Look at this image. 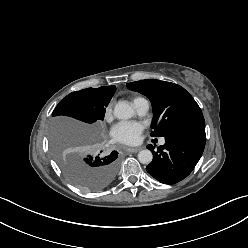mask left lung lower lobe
<instances>
[{
	"mask_svg": "<svg viewBox=\"0 0 248 248\" xmlns=\"http://www.w3.org/2000/svg\"><path fill=\"white\" fill-rule=\"evenodd\" d=\"M206 142L204 118L191 120L165 137V144L154 151L147 172L164 184H175L186 178L198 163Z\"/></svg>",
	"mask_w": 248,
	"mask_h": 248,
	"instance_id": "1",
	"label": "left lung lower lobe"
}]
</instances>
